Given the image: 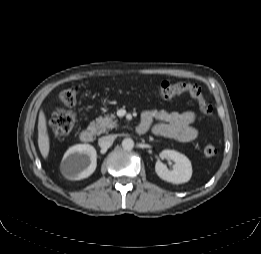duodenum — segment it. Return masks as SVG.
<instances>
[{
  "label": "duodenum",
  "instance_id": "1",
  "mask_svg": "<svg viewBox=\"0 0 261 254\" xmlns=\"http://www.w3.org/2000/svg\"><path fill=\"white\" fill-rule=\"evenodd\" d=\"M143 129L142 126H139L137 127V132L142 134L141 133V130ZM95 138V131L94 129L92 128H87V129H84L81 131L80 133V139L85 142V143H89V142H92Z\"/></svg>",
  "mask_w": 261,
  "mask_h": 254
}]
</instances>
